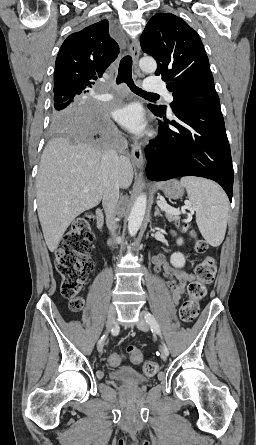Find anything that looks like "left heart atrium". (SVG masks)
<instances>
[{
  "label": "left heart atrium",
  "mask_w": 256,
  "mask_h": 445,
  "mask_svg": "<svg viewBox=\"0 0 256 445\" xmlns=\"http://www.w3.org/2000/svg\"><path fill=\"white\" fill-rule=\"evenodd\" d=\"M113 117L121 126L133 133H141L146 127L142 110L135 104L125 105L115 109Z\"/></svg>",
  "instance_id": "1"
}]
</instances>
